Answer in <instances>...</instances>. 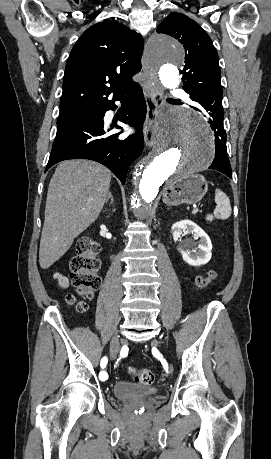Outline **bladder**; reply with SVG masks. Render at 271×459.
<instances>
[{"label": "bladder", "mask_w": 271, "mask_h": 459, "mask_svg": "<svg viewBox=\"0 0 271 459\" xmlns=\"http://www.w3.org/2000/svg\"><path fill=\"white\" fill-rule=\"evenodd\" d=\"M159 387L144 383H133L130 381L117 382L113 388L114 396L121 400H131L136 398L156 396Z\"/></svg>", "instance_id": "31cf9c89"}]
</instances>
